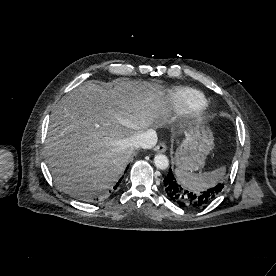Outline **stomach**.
Returning <instances> with one entry per match:
<instances>
[{"mask_svg": "<svg viewBox=\"0 0 276 276\" xmlns=\"http://www.w3.org/2000/svg\"><path fill=\"white\" fill-rule=\"evenodd\" d=\"M213 140L209 128L199 125L189 128L175 152L174 162L178 169L196 171L203 167L206 156L213 148Z\"/></svg>", "mask_w": 276, "mask_h": 276, "instance_id": "stomach-1", "label": "stomach"}]
</instances>
